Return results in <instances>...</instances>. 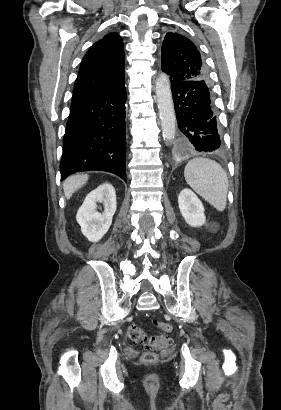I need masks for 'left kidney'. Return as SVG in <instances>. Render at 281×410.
Here are the masks:
<instances>
[{
  "instance_id": "5707ae66",
  "label": "left kidney",
  "mask_w": 281,
  "mask_h": 410,
  "mask_svg": "<svg viewBox=\"0 0 281 410\" xmlns=\"http://www.w3.org/2000/svg\"><path fill=\"white\" fill-rule=\"evenodd\" d=\"M178 205L188 225L191 227H200L205 223L204 206L192 190L185 188L180 192Z\"/></svg>"
}]
</instances>
